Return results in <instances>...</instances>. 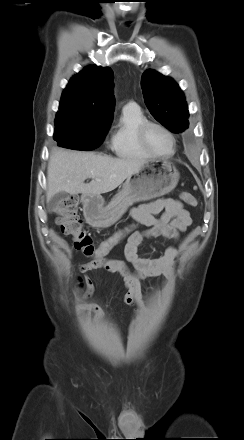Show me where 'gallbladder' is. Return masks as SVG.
<instances>
[{
    "mask_svg": "<svg viewBox=\"0 0 244 440\" xmlns=\"http://www.w3.org/2000/svg\"><path fill=\"white\" fill-rule=\"evenodd\" d=\"M66 197L67 194L65 192H59L55 194L49 201H47V211H53V209H55L59 203L64 201Z\"/></svg>",
    "mask_w": 244,
    "mask_h": 440,
    "instance_id": "1",
    "label": "gallbladder"
}]
</instances>
